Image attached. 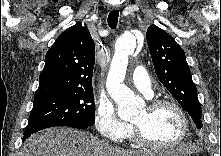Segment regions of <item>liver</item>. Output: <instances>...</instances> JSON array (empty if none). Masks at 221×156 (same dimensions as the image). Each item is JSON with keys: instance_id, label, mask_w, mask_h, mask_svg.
<instances>
[{"instance_id": "liver-1", "label": "liver", "mask_w": 221, "mask_h": 156, "mask_svg": "<svg viewBox=\"0 0 221 156\" xmlns=\"http://www.w3.org/2000/svg\"><path fill=\"white\" fill-rule=\"evenodd\" d=\"M187 153L196 146L185 145ZM147 152L128 151L106 145L87 132L71 128H49L33 134L23 144L20 156H149Z\"/></svg>"}]
</instances>
